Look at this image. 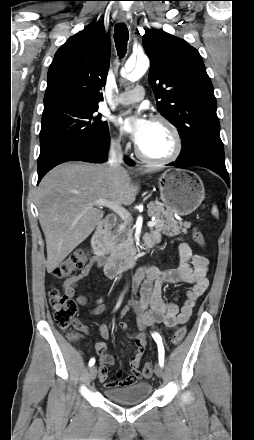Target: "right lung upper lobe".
Listing matches in <instances>:
<instances>
[{
  "label": "right lung upper lobe",
  "instance_id": "cb5924a9",
  "mask_svg": "<svg viewBox=\"0 0 254 440\" xmlns=\"http://www.w3.org/2000/svg\"><path fill=\"white\" fill-rule=\"evenodd\" d=\"M110 39L101 22L70 37L56 52L47 75L44 106L58 100L98 105L109 69Z\"/></svg>",
  "mask_w": 254,
  "mask_h": 440
}]
</instances>
